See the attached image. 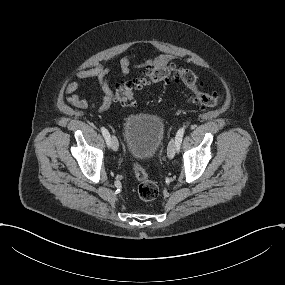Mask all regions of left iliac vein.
Here are the masks:
<instances>
[{
  "instance_id": "1",
  "label": "left iliac vein",
  "mask_w": 285,
  "mask_h": 285,
  "mask_svg": "<svg viewBox=\"0 0 285 285\" xmlns=\"http://www.w3.org/2000/svg\"><path fill=\"white\" fill-rule=\"evenodd\" d=\"M177 150L178 148H177L176 141L172 139L168 145V151H167L168 158L172 159L175 156Z\"/></svg>"
}]
</instances>
